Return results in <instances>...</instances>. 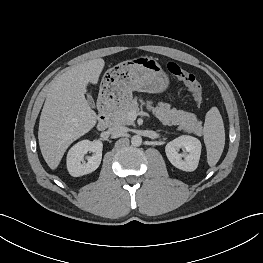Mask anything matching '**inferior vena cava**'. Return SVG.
Returning a JSON list of instances; mask_svg holds the SVG:
<instances>
[{
    "label": "inferior vena cava",
    "instance_id": "1",
    "mask_svg": "<svg viewBox=\"0 0 263 263\" xmlns=\"http://www.w3.org/2000/svg\"><path fill=\"white\" fill-rule=\"evenodd\" d=\"M127 130L128 129L124 126L115 125L108 129V133L113 134V135H118V134H123L127 132Z\"/></svg>",
    "mask_w": 263,
    "mask_h": 263
}]
</instances>
